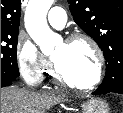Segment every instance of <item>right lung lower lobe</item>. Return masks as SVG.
Segmentation results:
<instances>
[{
    "instance_id": "98d812e1",
    "label": "right lung lower lobe",
    "mask_w": 123,
    "mask_h": 113,
    "mask_svg": "<svg viewBox=\"0 0 123 113\" xmlns=\"http://www.w3.org/2000/svg\"><path fill=\"white\" fill-rule=\"evenodd\" d=\"M12 84V81H2L1 80V87H6Z\"/></svg>"
}]
</instances>
